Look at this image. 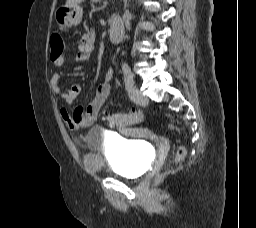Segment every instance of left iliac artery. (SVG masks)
I'll return each mask as SVG.
<instances>
[{
	"label": "left iliac artery",
	"instance_id": "44dca946",
	"mask_svg": "<svg viewBox=\"0 0 256 228\" xmlns=\"http://www.w3.org/2000/svg\"><path fill=\"white\" fill-rule=\"evenodd\" d=\"M122 69L124 73L125 88L126 90H130L134 85L133 74L127 64H123Z\"/></svg>",
	"mask_w": 256,
	"mask_h": 228
}]
</instances>
